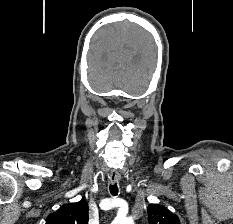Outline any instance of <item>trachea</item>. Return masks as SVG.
Instances as JSON below:
<instances>
[{
  "label": "trachea",
  "instance_id": "3493384b",
  "mask_svg": "<svg viewBox=\"0 0 233 224\" xmlns=\"http://www.w3.org/2000/svg\"><path fill=\"white\" fill-rule=\"evenodd\" d=\"M110 193L113 195V196H116L118 194V186L117 184H113V185H110Z\"/></svg>",
  "mask_w": 233,
  "mask_h": 224
}]
</instances>
